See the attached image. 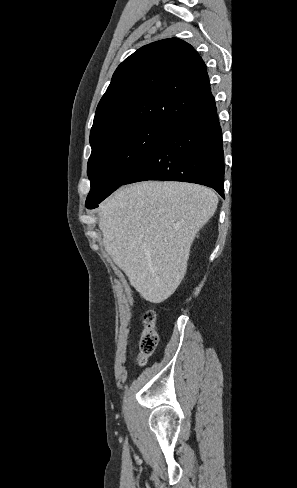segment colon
<instances>
[{
	"instance_id": "1",
	"label": "colon",
	"mask_w": 297,
	"mask_h": 488,
	"mask_svg": "<svg viewBox=\"0 0 297 488\" xmlns=\"http://www.w3.org/2000/svg\"><path fill=\"white\" fill-rule=\"evenodd\" d=\"M156 313L149 310L142 317V331L139 335V355L137 363L144 365L148 358L154 353L158 345V333L155 329Z\"/></svg>"
}]
</instances>
